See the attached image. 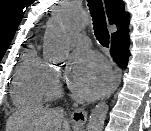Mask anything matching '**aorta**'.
<instances>
[{"instance_id":"aorta-1","label":"aorta","mask_w":151,"mask_h":131,"mask_svg":"<svg viewBox=\"0 0 151 131\" xmlns=\"http://www.w3.org/2000/svg\"><path fill=\"white\" fill-rule=\"evenodd\" d=\"M81 21L71 6H65L60 13L49 20L45 36L44 55L51 61H60L68 53L66 34L81 28ZM108 105L105 101L98 103L89 116L87 131H102Z\"/></svg>"}]
</instances>
